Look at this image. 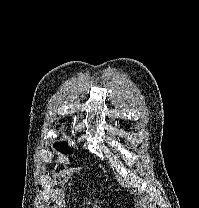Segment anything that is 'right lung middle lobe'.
I'll return each mask as SVG.
<instances>
[{
    "instance_id": "dd1d6c3e",
    "label": "right lung middle lobe",
    "mask_w": 199,
    "mask_h": 208,
    "mask_svg": "<svg viewBox=\"0 0 199 208\" xmlns=\"http://www.w3.org/2000/svg\"><path fill=\"white\" fill-rule=\"evenodd\" d=\"M54 147H56L57 150L61 151V152H64V153H72V149L69 148L66 143H56L54 145Z\"/></svg>"
}]
</instances>
